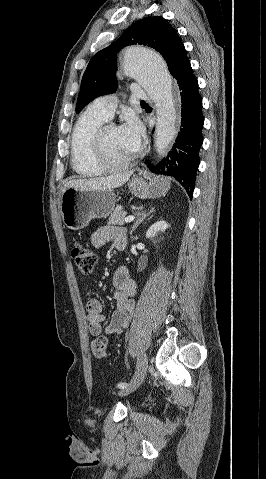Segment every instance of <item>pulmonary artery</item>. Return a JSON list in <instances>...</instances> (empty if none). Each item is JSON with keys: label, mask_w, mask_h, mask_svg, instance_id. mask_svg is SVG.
<instances>
[{"label": "pulmonary artery", "mask_w": 266, "mask_h": 479, "mask_svg": "<svg viewBox=\"0 0 266 479\" xmlns=\"http://www.w3.org/2000/svg\"><path fill=\"white\" fill-rule=\"evenodd\" d=\"M133 96L137 99L150 100L151 95L147 92L144 87H141L137 84L131 85ZM118 99L116 95H104L96 98L90 105L89 110L102 116L106 120H109L113 117L115 108L117 107Z\"/></svg>", "instance_id": "e3ab8cb5"}]
</instances>
